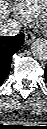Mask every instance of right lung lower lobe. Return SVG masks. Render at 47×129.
I'll use <instances>...</instances> for the list:
<instances>
[{"mask_svg":"<svg viewBox=\"0 0 47 129\" xmlns=\"http://www.w3.org/2000/svg\"><path fill=\"white\" fill-rule=\"evenodd\" d=\"M24 41V35L1 36L0 37V85L8 76L12 56L20 50Z\"/></svg>","mask_w":47,"mask_h":129,"instance_id":"98d812e1","label":"right lung lower lobe"}]
</instances>
